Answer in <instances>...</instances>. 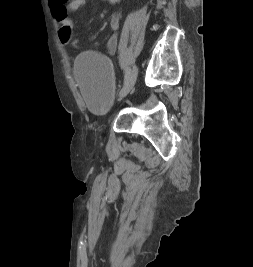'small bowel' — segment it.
<instances>
[{
	"label": "small bowel",
	"instance_id": "obj_1",
	"mask_svg": "<svg viewBox=\"0 0 253 267\" xmlns=\"http://www.w3.org/2000/svg\"><path fill=\"white\" fill-rule=\"evenodd\" d=\"M109 3H118L119 0H105ZM87 4V0H49V7L54 18L61 26L72 28L71 14ZM120 26V15L113 13L109 19L111 34L106 42V48L110 54H114L118 47L117 31Z\"/></svg>",
	"mask_w": 253,
	"mask_h": 267
}]
</instances>
